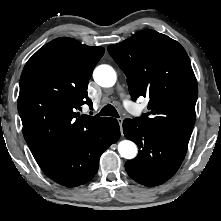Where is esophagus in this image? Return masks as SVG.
<instances>
[{"mask_svg":"<svg viewBox=\"0 0 221 221\" xmlns=\"http://www.w3.org/2000/svg\"><path fill=\"white\" fill-rule=\"evenodd\" d=\"M117 120H118V123L120 125L121 130H122L123 119L122 118H118Z\"/></svg>","mask_w":221,"mask_h":221,"instance_id":"obj_1","label":"esophagus"}]
</instances>
